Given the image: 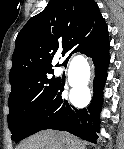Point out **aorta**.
Returning a JSON list of instances; mask_svg holds the SVG:
<instances>
[{"label":"aorta","instance_id":"obj_1","mask_svg":"<svg viewBox=\"0 0 124 149\" xmlns=\"http://www.w3.org/2000/svg\"><path fill=\"white\" fill-rule=\"evenodd\" d=\"M89 77V69L84 61L73 60L68 72L70 84L77 87L84 84Z\"/></svg>","mask_w":124,"mask_h":149}]
</instances>
